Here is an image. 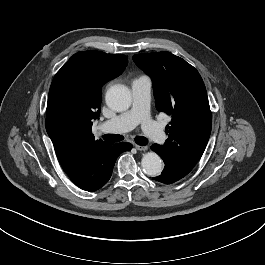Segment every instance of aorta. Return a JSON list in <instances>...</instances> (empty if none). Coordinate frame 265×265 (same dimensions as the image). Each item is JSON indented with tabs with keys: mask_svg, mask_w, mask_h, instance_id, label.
<instances>
[{
	"mask_svg": "<svg viewBox=\"0 0 265 265\" xmlns=\"http://www.w3.org/2000/svg\"><path fill=\"white\" fill-rule=\"evenodd\" d=\"M105 99L108 107L116 112L127 110L132 102L130 90L121 84L111 86L106 92ZM141 166L148 176H158L163 169L161 158L155 152L144 154Z\"/></svg>",
	"mask_w": 265,
	"mask_h": 265,
	"instance_id": "obj_1",
	"label": "aorta"
}]
</instances>
